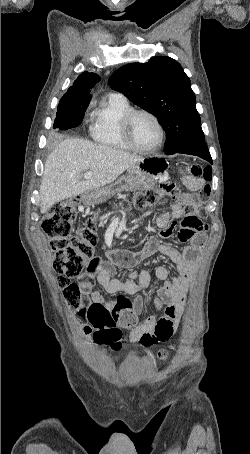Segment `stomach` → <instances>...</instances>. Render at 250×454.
<instances>
[{
  "label": "stomach",
  "instance_id": "1",
  "mask_svg": "<svg viewBox=\"0 0 250 454\" xmlns=\"http://www.w3.org/2000/svg\"><path fill=\"white\" fill-rule=\"evenodd\" d=\"M166 167V162L161 158H146L131 166L127 175L117 182L83 193L81 201L85 205L99 204L124 189L151 188L164 178Z\"/></svg>",
  "mask_w": 250,
  "mask_h": 454
}]
</instances>
